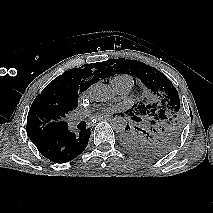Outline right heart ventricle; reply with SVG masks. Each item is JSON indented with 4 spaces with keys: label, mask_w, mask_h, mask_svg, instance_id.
Returning a JSON list of instances; mask_svg holds the SVG:
<instances>
[{
    "label": "right heart ventricle",
    "mask_w": 213,
    "mask_h": 213,
    "mask_svg": "<svg viewBox=\"0 0 213 213\" xmlns=\"http://www.w3.org/2000/svg\"><path fill=\"white\" fill-rule=\"evenodd\" d=\"M125 79L132 81V79L127 75H118V76L113 78V80H116V81H122V80H125Z\"/></svg>",
    "instance_id": "1"
}]
</instances>
